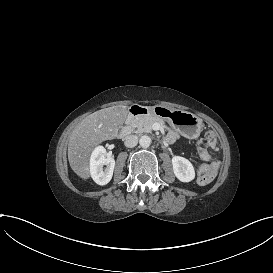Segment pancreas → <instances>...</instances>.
I'll return each instance as SVG.
<instances>
[{"instance_id": "pancreas-1", "label": "pancreas", "mask_w": 273, "mask_h": 273, "mask_svg": "<svg viewBox=\"0 0 273 273\" xmlns=\"http://www.w3.org/2000/svg\"><path fill=\"white\" fill-rule=\"evenodd\" d=\"M154 123H158L160 128L165 130H169V127L165 125V122L162 118L156 116H139L136 118L128 117L126 120V124H130L133 129H135V133H151L152 126Z\"/></svg>"}]
</instances>
